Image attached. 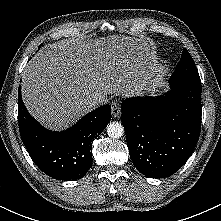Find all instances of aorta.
Returning <instances> with one entry per match:
<instances>
[{"label": "aorta", "mask_w": 221, "mask_h": 221, "mask_svg": "<svg viewBox=\"0 0 221 221\" xmlns=\"http://www.w3.org/2000/svg\"><path fill=\"white\" fill-rule=\"evenodd\" d=\"M107 134L114 139L120 138L124 134V128L119 122H110L107 126Z\"/></svg>", "instance_id": "aorta-1"}]
</instances>
